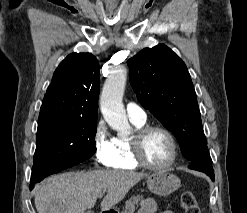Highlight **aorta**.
Wrapping results in <instances>:
<instances>
[{
    "mask_svg": "<svg viewBox=\"0 0 247 213\" xmlns=\"http://www.w3.org/2000/svg\"><path fill=\"white\" fill-rule=\"evenodd\" d=\"M127 80V70L119 67L107 78L100 96V108L105 121L119 135L130 134V124L122 99Z\"/></svg>",
    "mask_w": 247,
    "mask_h": 213,
    "instance_id": "obj_1",
    "label": "aorta"
}]
</instances>
